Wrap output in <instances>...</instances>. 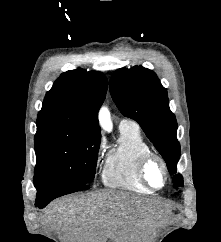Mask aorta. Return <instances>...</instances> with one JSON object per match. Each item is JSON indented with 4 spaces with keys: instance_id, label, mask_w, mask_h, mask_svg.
I'll use <instances>...</instances> for the list:
<instances>
[{
    "instance_id": "762f6f07",
    "label": "aorta",
    "mask_w": 221,
    "mask_h": 242,
    "mask_svg": "<svg viewBox=\"0 0 221 242\" xmlns=\"http://www.w3.org/2000/svg\"><path fill=\"white\" fill-rule=\"evenodd\" d=\"M99 119H100L101 125L106 130L111 129L110 113L107 108H102L100 110Z\"/></svg>"
}]
</instances>
